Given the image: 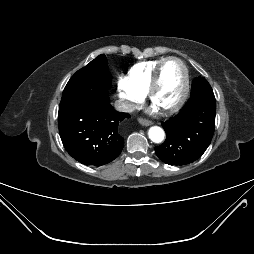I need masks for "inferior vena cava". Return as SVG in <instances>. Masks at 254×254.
Segmentation results:
<instances>
[{"label":"inferior vena cava","mask_w":254,"mask_h":254,"mask_svg":"<svg viewBox=\"0 0 254 254\" xmlns=\"http://www.w3.org/2000/svg\"><path fill=\"white\" fill-rule=\"evenodd\" d=\"M115 108L121 112H132L134 110V106L125 101L118 100L115 102Z\"/></svg>","instance_id":"602c4592"}]
</instances>
